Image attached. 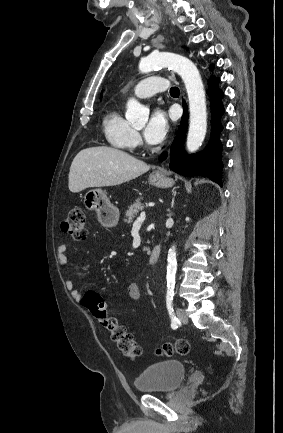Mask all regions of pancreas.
Masks as SVG:
<instances>
[{
	"label": "pancreas",
	"instance_id": "cf45deb5",
	"mask_svg": "<svg viewBox=\"0 0 283 433\" xmlns=\"http://www.w3.org/2000/svg\"><path fill=\"white\" fill-rule=\"evenodd\" d=\"M143 208L144 204H142V202H139V200H137V202H134V204H130L125 214L126 219H124V223H132L135 214H137L139 210H143ZM144 251H150V249H147V247H145Z\"/></svg>",
	"mask_w": 283,
	"mask_h": 433
}]
</instances>
